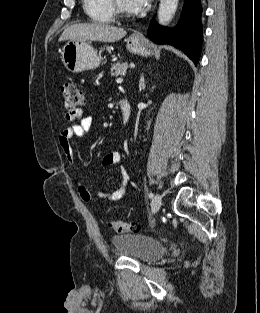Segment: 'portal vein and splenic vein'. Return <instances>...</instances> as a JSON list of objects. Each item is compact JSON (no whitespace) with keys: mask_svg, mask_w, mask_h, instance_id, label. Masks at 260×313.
<instances>
[{"mask_svg":"<svg viewBox=\"0 0 260 313\" xmlns=\"http://www.w3.org/2000/svg\"><path fill=\"white\" fill-rule=\"evenodd\" d=\"M122 82H123V79H122V78L116 79V83H122Z\"/></svg>","mask_w":260,"mask_h":313,"instance_id":"18ae733b","label":"portal vein and splenic vein"}]
</instances>
